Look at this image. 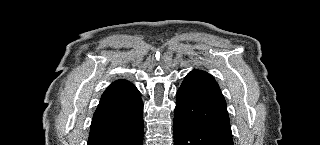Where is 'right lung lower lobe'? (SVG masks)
Instances as JSON below:
<instances>
[{
  "instance_id": "98d812e1",
  "label": "right lung lower lobe",
  "mask_w": 320,
  "mask_h": 145,
  "mask_svg": "<svg viewBox=\"0 0 320 145\" xmlns=\"http://www.w3.org/2000/svg\"><path fill=\"white\" fill-rule=\"evenodd\" d=\"M87 145H143V103L138 89L116 80L94 113Z\"/></svg>"
}]
</instances>
